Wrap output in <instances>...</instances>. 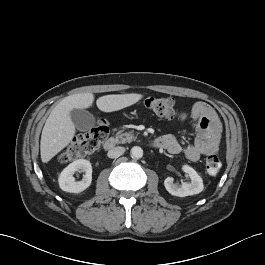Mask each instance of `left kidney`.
<instances>
[{
	"label": "left kidney",
	"mask_w": 265,
	"mask_h": 265,
	"mask_svg": "<svg viewBox=\"0 0 265 265\" xmlns=\"http://www.w3.org/2000/svg\"><path fill=\"white\" fill-rule=\"evenodd\" d=\"M182 170L188 174L191 179L189 183H182L177 185L173 178L167 177L164 181L166 190L174 196L186 197L190 195L199 194L203 191L204 185L201 176L190 166L184 165Z\"/></svg>",
	"instance_id": "1"
}]
</instances>
